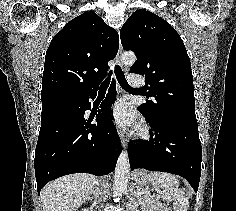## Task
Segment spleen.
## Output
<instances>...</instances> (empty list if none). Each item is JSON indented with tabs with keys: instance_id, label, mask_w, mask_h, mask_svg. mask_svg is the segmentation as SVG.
Instances as JSON below:
<instances>
[{
	"instance_id": "3e777b00",
	"label": "spleen",
	"mask_w": 236,
	"mask_h": 211,
	"mask_svg": "<svg viewBox=\"0 0 236 211\" xmlns=\"http://www.w3.org/2000/svg\"><path fill=\"white\" fill-rule=\"evenodd\" d=\"M148 180L163 199L173 201L175 210L186 211L189 208L188 198L179 188V180L175 175L166 172H151L148 174Z\"/></svg>"
}]
</instances>
